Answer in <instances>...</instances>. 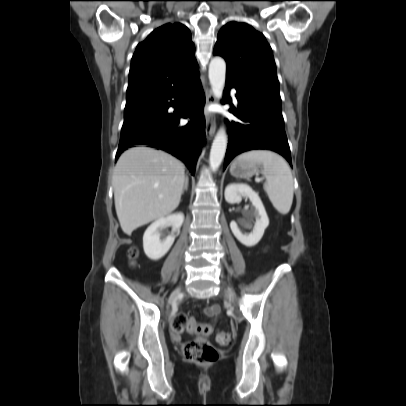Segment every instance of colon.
Segmentation results:
<instances>
[{
  "mask_svg": "<svg viewBox=\"0 0 406 406\" xmlns=\"http://www.w3.org/2000/svg\"><path fill=\"white\" fill-rule=\"evenodd\" d=\"M131 259L137 257V250L130 249L128 253ZM172 330L175 333H206L211 331V327L197 322L192 316L186 313H178L173 317L171 323ZM216 341L221 345H227L231 342L230 334L219 332L216 335ZM185 358L195 364L208 365L214 363L218 358L215 347L206 340H191L184 344L183 348Z\"/></svg>",
  "mask_w": 406,
  "mask_h": 406,
  "instance_id": "colon-1",
  "label": "colon"
}]
</instances>
